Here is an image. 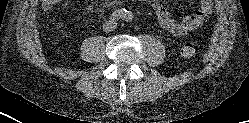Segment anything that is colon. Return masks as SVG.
<instances>
[{
  "instance_id": "5ec220e1",
  "label": "colon",
  "mask_w": 249,
  "mask_h": 123,
  "mask_svg": "<svg viewBox=\"0 0 249 123\" xmlns=\"http://www.w3.org/2000/svg\"><path fill=\"white\" fill-rule=\"evenodd\" d=\"M196 53L195 45L192 42H186L181 47V55L184 58H192Z\"/></svg>"
}]
</instances>
